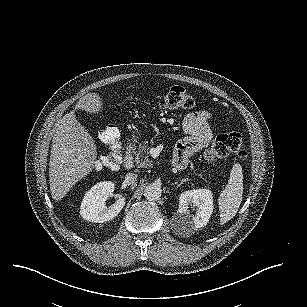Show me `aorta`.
Instances as JSON below:
<instances>
[{
  "label": "aorta",
  "mask_w": 307,
  "mask_h": 307,
  "mask_svg": "<svg viewBox=\"0 0 307 307\" xmlns=\"http://www.w3.org/2000/svg\"><path fill=\"white\" fill-rule=\"evenodd\" d=\"M161 195H162L161 186L155 183L147 185L144 190V196L149 201L157 200L161 197Z\"/></svg>",
  "instance_id": "1"
}]
</instances>
